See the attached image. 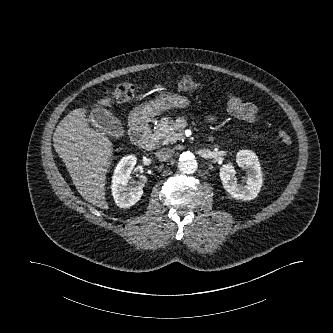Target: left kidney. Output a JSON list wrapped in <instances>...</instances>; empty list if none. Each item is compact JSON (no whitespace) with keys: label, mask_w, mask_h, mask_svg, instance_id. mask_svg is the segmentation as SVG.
Wrapping results in <instances>:
<instances>
[{"label":"left kidney","mask_w":333,"mask_h":333,"mask_svg":"<svg viewBox=\"0 0 333 333\" xmlns=\"http://www.w3.org/2000/svg\"><path fill=\"white\" fill-rule=\"evenodd\" d=\"M236 162L239 167L248 171L246 184H239L233 165L225 164L220 169L223 187L237 200H252L257 197L263 183L258 157L250 150H240L236 155Z\"/></svg>","instance_id":"5707ae66"}]
</instances>
